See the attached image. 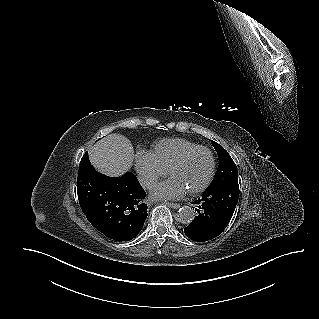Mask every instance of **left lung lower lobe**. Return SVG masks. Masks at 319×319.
Listing matches in <instances>:
<instances>
[{"label": "left lung lower lobe", "mask_w": 319, "mask_h": 319, "mask_svg": "<svg viewBox=\"0 0 319 319\" xmlns=\"http://www.w3.org/2000/svg\"><path fill=\"white\" fill-rule=\"evenodd\" d=\"M238 183L206 190L195 200L198 215L184 228V233L193 241L205 242L222 233L227 227L238 201Z\"/></svg>", "instance_id": "1"}]
</instances>
